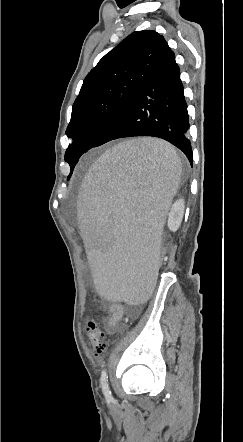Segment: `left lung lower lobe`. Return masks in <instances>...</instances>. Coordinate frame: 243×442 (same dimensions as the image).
Listing matches in <instances>:
<instances>
[{
	"mask_svg": "<svg viewBox=\"0 0 243 442\" xmlns=\"http://www.w3.org/2000/svg\"><path fill=\"white\" fill-rule=\"evenodd\" d=\"M189 126L180 70L167 45L94 147L124 137H158L183 151L192 165Z\"/></svg>",
	"mask_w": 243,
	"mask_h": 442,
	"instance_id": "0a47b994",
	"label": "left lung lower lobe"
}]
</instances>
